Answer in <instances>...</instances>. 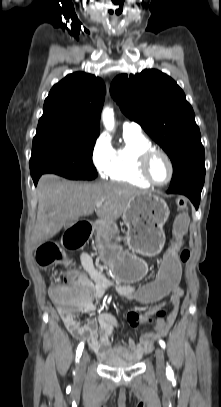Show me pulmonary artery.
Returning a JSON list of instances; mask_svg holds the SVG:
<instances>
[{
	"label": "pulmonary artery",
	"instance_id": "obj_1",
	"mask_svg": "<svg viewBox=\"0 0 221 407\" xmlns=\"http://www.w3.org/2000/svg\"><path fill=\"white\" fill-rule=\"evenodd\" d=\"M123 131L141 132V127L135 122H124Z\"/></svg>",
	"mask_w": 221,
	"mask_h": 407
}]
</instances>
